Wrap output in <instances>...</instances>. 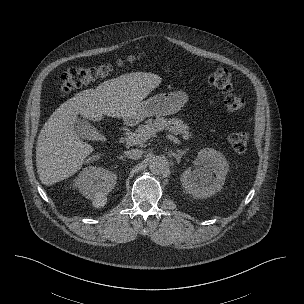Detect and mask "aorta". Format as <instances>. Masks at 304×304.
Segmentation results:
<instances>
[{"label": "aorta", "mask_w": 304, "mask_h": 304, "mask_svg": "<svg viewBox=\"0 0 304 304\" xmlns=\"http://www.w3.org/2000/svg\"><path fill=\"white\" fill-rule=\"evenodd\" d=\"M169 167L168 160L163 155L154 156L149 163V169L154 174H163Z\"/></svg>", "instance_id": "762f6f07"}]
</instances>
